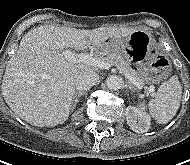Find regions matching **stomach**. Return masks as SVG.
Returning <instances> with one entry per match:
<instances>
[{"instance_id": "1", "label": "stomach", "mask_w": 190, "mask_h": 165, "mask_svg": "<svg viewBox=\"0 0 190 165\" xmlns=\"http://www.w3.org/2000/svg\"><path fill=\"white\" fill-rule=\"evenodd\" d=\"M98 55L123 53V60L139 75L143 82L154 84L162 80L169 68L168 60L153 44L147 33H132L127 38L105 40L96 47Z\"/></svg>"}]
</instances>
